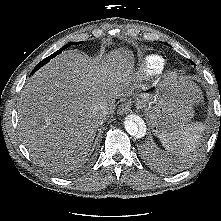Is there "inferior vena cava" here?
Returning a JSON list of instances; mask_svg holds the SVG:
<instances>
[{
  "label": "inferior vena cava",
  "mask_w": 221,
  "mask_h": 221,
  "mask_svg": "<svg viewBox=\"0 0 221 221\" xmlns=\"http://www.w3.org/2000/svg\"><path fill=\"white\" fill-rule=\"evenodd\" d=\"M101 109L103 116H106L108 114L109 108L107 106H102Z\"/></svg>",
  "instance_id": "602c4592"
}]
</instances>
